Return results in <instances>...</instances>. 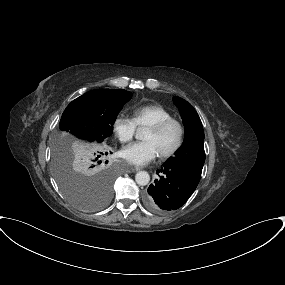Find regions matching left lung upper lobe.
I'll return each mask as SVG.
<instances>
[{
    "label": "left lung upper lobe",
    "mask_w": 285,
    "mask_h": 285,
    "mask_svg": "<svg viewBox=\"0 0 285 285\" xmlns=\"http://www.w3.org/2000/svg\"><path fill=\"white\" fill-rule=\"evenodd\" d=\"M173 102L179 108L182 117L185 139L175 156L165 165L186 171L200 179L205 162L204 131L201 120L186 100L173 97Z\"/></svg>",
    "instance_id": "left-lung-upper-lobe-1"
}]
</instances>
